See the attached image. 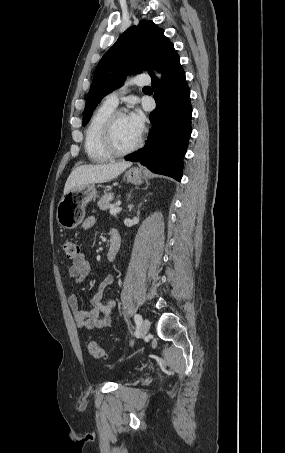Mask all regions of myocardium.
I'll return each instance as SVG.
<instances>
[{
	"mask_svg": "<svg viewBox=\"0 0 285 453\" xmlns=\"http://www.w3.org/2000/svg\"><path fill=\"white\" fill-rule=\"evenodd\" d=\"M123 115H128L126 110H124V109L114 110L108 116V118L106 119V121L103 125L102 144H103L105 150L111 156H124V155L130 154V153L136 151L137 149H139L143 144L144 133L142 131L139 139L137 140V142L134 145H132L128 148H125V149H121L116 145L115 137H114V128H115L117 119Z\"/></svg>",
	"mask_w": 285,
	"mask_h": 453,
	"instance_id": "f54148a6",
	"label": "myocardium"
}]
</instances>
